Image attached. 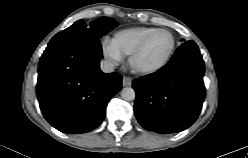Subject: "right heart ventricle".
Returning a JSON list of instances; mask_svg holds the SVG:
<instances>
[{
	"instance_id": "obj_1",
	"label": "right heart ventricle",
	"mask_w": 248,
	"mask_h": 158,
	"mask_svg": "<svg viewBox=\"0 0 248 158\" xmlns=\"http://www.w3.org/2000/svg\"><path fill=\"white\" fill-rule=\"evenodd\" d=\"M155 28L131 27L117 31L111 41L123 56H129L140 41Z\"/></svg>"
}]
</instances>
